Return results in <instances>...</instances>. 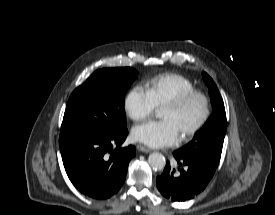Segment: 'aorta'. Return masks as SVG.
<instances>
[{
    "label": "aorta",
    "instance_id": "obj_1",
    "mask_svg": "<svg viewBox=\"0 0 275 215\" xmlns=\"http://www.w3.org/2000/svg\"><path fill=\"white\" fill-rule=\"evenodd\" d=\"M159 116V113H156ZM149 165L155 170H162L166 165L165 157L161 153H151L148 158Z\"/></svg>",
    "mask_w": 275,
    "mask_h": 215
}]
</instances>
